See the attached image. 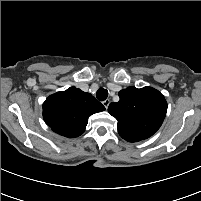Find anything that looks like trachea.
Listing matches in <instances>:
<instances>
[{
	"mask_svg": "<svg viewBox=\"0 0 201 201\" xmlns=\"http://www.w3.org/2000/svg\"><path fill=\"white\" fill-rule=\"evenodd\" d=\"M96 97H97L98 100L104 101L108 97V91L106 89H104V88H100L96 92Z\"/></svg>",
	"mask_w": 201,
	"mask_h": 201,
	"instance_id": "trachea-1",
	"label": "trachea"
}]
</instances>
